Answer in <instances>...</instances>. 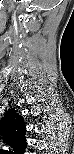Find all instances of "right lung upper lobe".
Here are the masks:
<instances>
[{
  "mask_svg": "<svg viewBox=\"0 0 74 154\" xmlns=\"http://www.w3.org/2000/svg\"><path fill=\"white\" fill-rule=\"evenodd\" d=\"M5 119H6V122H8L9 124L19 127L18 131H21V132L24 131L23 119L20 115H18V113H16V111L10 110Z\"/></svg>",
  "mask_w": 74,
  "mask_h": 154,
  "instance_id": "1",
  "label": "right lung upper lobe"
}]
</instances>
